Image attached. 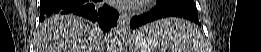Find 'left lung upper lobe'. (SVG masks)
<instances>
[{"instance_id":"5c2ea615","label":"left lung upper lobe","mask_w":261,"mask_h":52,"mask_svg":"<svg viewBox=\"0 0 261 52\" xmlns=\"http://www.w3.org/2000/svg\"><path fill=\"white\" fill-rule=\"evenodd\" d=\"M160 2L164 4L184 3L196 9L193 0H160Z\"/></svg>"}]
</instances>
